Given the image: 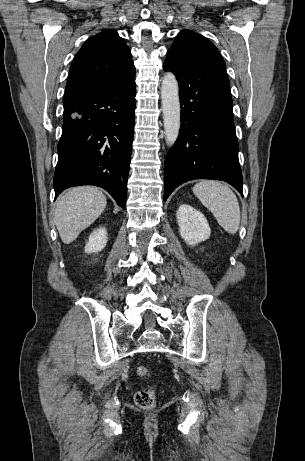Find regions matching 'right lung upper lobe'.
<instances>
[{"instance_id":"1","label":"right lung upper lobe","mask_w":305,"mask_h":461,"mask_svg":"<svg viewBox=\"0 0 305 461\" xmlns=\"http://www.w3.org/2000/svg\"><path fill=\"white\" fill-rule=\"evenodd\" d=\"M135 75L131 52L114 30L88 39L77 52L69 72L66 94L108 87Z\"/></svg>"}]
</instances>
